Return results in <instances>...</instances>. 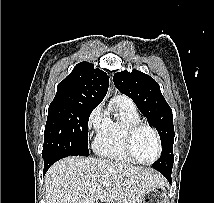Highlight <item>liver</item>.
Listing matches in <instances>:
<instances>
[{"instance_id":"1","label":"liver","mask_w":214,"mask_h":203,"mask_svg":"<svg viewBox=\"0 0 214 203\" xmlns=\"http://www.w3.org/2000/svg\"><path fill=\"white\" fill-rule=\"evenodd\" d=\"M109 181L104 189L102 183ZM165 185L157 172L123 162L91 157H67L45 176L46 203H138L147 191Z\"/></svg>"}]
</instances>
